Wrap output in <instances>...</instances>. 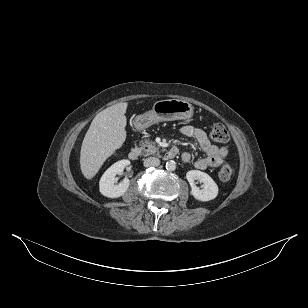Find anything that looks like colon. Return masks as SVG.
I'll use <instances>...</instances> for the list:
<instances>
[{
    "instance_id": "colon-1",
    "label": "colon",
    "mask_w": 308,
    "mask_h": 308,
    "mask_svg": "<svg viewBox=\"0 0 308 308\" xmlns=\"http://www.w3.org/2000/svg\"><path fill=\"white\" fill-rule=\"evenodd\" d=\"M210 137L214 142L225 143L229 140V133L222 124H215L211 130ZM234 174V166L228 161H223L218 169V177L221 181H229Z\"/></svg>"
}]
</instances>
